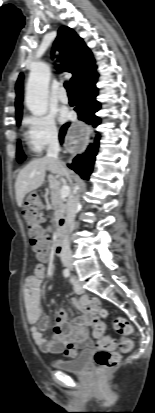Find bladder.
<instances>
[{
	"mask_svg": "<svg viewBox=\"0 0 155 413\" xmlns=\"http://www.w3.org/2000/svg\"><path fill=\"white\" fill-rule=\"evenodd\" d=\"M91 351L84 350L76 355L74 358L67 360H56L54 367L71 373L83 374L87 371L89 366V358Z\"/></svg>",
	"mask_w": 155,
	"mask_h": 413,
	"instance_id": "bladder-1",
	"label": "bladder"
}]
</instances>
